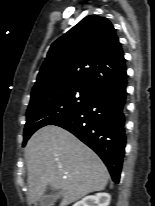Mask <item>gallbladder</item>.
Segmentation results:
<instances>
[{"instance_id":"1","label":"gallbladder","mask_w":155,"mask_h":206,"mask_svg":"<svg viewBox=\"0 0 155 206\" xmlns=\"http://www.w3.org/2000/svg\"><path fill=\"white\" fill-rule=\"evenodd\" d=\"M40 198V206H54L57 200L62 195V192H57L52 189Z\"/></svg>"}]
</instances>
